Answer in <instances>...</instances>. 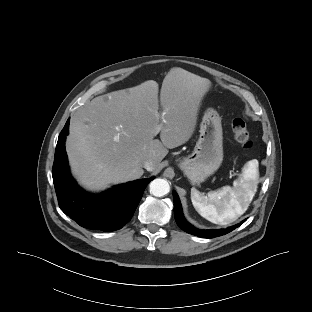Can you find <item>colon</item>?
<instances>
[{
    "instance_id": "obj_1",
    "label": "colon",
    "mask_w": 312,
    "mask_h": 312,
    "mask_svg": "<svg viewBox=\"0 0 312 312\" xmlns=\"http://www.w3.org/2000/svg\"><path fill=\"white\" fill-rule=\"evenodd\" d=\"M232 132L236 142L243 148V149H250L253 146V141L250 136V132L247 128L245 121L240 118L236 117L232 120L231 123Z\"/></svg>"
}]
</instances>
